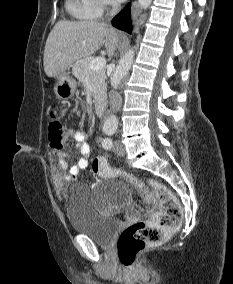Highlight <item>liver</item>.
Here are the masks:
<instances>
[{"label": "liver", "instance_id": "obj_1", "mask_svg": "<svg viewBox=\"0 0 233 284\" xmlns=\"http://www.w3.org/2000/svg\"><path fill=\"white\" fill-rule=\"evenodd\" d=\"M120 33L96 21H58L51 30L44 50V70L55 77L79 59L88 58L104 44L112 56Z\"/></svg>", "mask_w": 233, "mask_h": 284}]
</instances>
